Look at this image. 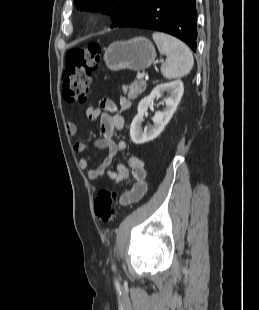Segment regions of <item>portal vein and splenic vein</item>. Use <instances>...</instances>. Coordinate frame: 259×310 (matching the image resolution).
<instances>
[{
  "label": "portal vein and splenic vein",
  "mask_w": 259,
  "mask_h": 310,
  "mask_svg": "<svg viewBox=\"0 0 259 310\" xmlns=\"http://www.w3.org/2000/svg\"><path fill=\"white\" fill-rule=\"evenodd\" d=\"M144 76H145L144 73H140V74L137 76V79H138V80H141V79L144 78Z\"/></svg>",
  "instance_id": "portal-vein-and-splenic-vein-1"
}]
</instances>
